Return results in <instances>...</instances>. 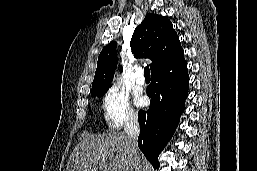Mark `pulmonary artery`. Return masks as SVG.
<instances>
[{
    "instance_id": "e3ab8cb5",
    "label": "pulmonary artery",
    "mask_w": 257,
    "mask_h": 171,
    "mask_svg": "<svg viewBox=\"0 0 257 171\" xmlns=\"http://www.w3.org/2000/svg\"><path fill=\"white\" fill-rule=\"evenodd\" d=\"M135 82L138 84V85H144L145 84V78L143 76V71L142 69H138L137 72H136V75H135Z\"/></svg>"
}]
</instances>
